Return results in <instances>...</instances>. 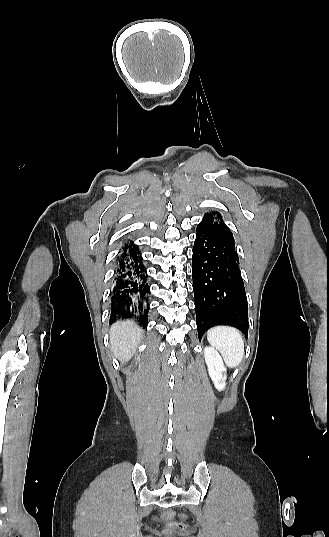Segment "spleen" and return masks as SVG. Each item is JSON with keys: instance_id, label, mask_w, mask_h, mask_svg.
<instances>
[{"instance_id": "3e777b00", "label": "spleen", "mask_w": 329, "mask_h": 537, "mask_svg": "<svg viewBox=\"0 0 329 537\" xmlns=\"http://www.w3.org/2000/svg\"><path fill=\"white\" fill-rule=\"evenodd\" d=\"M209 343L222 355L230 367H236L244 356V341L241 333L229 326H216L207 332Z\"/></svg>"}]
</instances>
